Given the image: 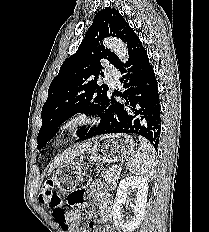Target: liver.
I'll return each instance as SVG.
<instances>
[{"label": "liver", "instance_id": "6515ba94", "mask_svg": "<svg viewBox=\"0 0 209 232\" xmlns=\"http://www.w3.org/2000/svg\"><path fill=\"white\" fill-rule=\"evenodd\" d=\"M89 146H90V142L83 143L63 153L60 157H58V159H56L53 163H51L49 167V171H52L53 169L72 161L74 158H76L81 153H83Z\"/></svg>", "mask_w": 209, "mask_h": 232}]
</instances>
